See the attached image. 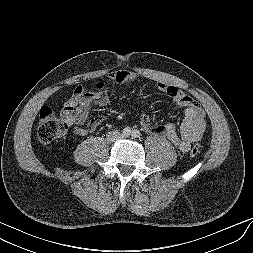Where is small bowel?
Listing matches in <instances>:
<instances>
[{
  "mask_svg": "<svg viewBox=\"0 0 253 253\" xmlns=\"http://www.w3.org/2000/svg\"><path fill=\"white\" fill-rule=\"evenodd\" d=\"M138 75L130 70H117L110 74V79L130 84ZM158 89L169 96L173 102L185 109L184 118L178 129L173 123H166L161 127H154L146 113L140 117L141 126L153 136H165L179 151L187 152L192 143L199 141L206 129L205 113L201 107L186 93L175 85L158 82ZM96 91H90L86 86H78L64 104L61 116L72 127L74 134L85 136L94 132L104 121L103 116L92 118L87 127L81 125L88 119L91 111L96 107H105L109 104L108 90L103 83L96 85Z\"/></svg>",
  "mask_w": 253,
  "mask_h": 253,
  "instance_id": "c3829d8e",
  "label": "small bowel"
}]
</instances>
